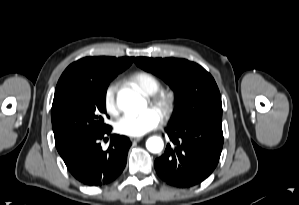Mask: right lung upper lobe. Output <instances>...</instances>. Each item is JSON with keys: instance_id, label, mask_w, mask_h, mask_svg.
<instances>
[{"instance_id": "cb5924a9", "label": "right lung upper lobe", "mask_w": 299, "mask_h": 205, "mask_svg": "<svg viewBox=\"0 0 299 205\" xmlns=\"http://www.w3.org/2000/svg\"><path fill=\"white\" fill-rule=\"evenodd\" d=\"M133 59V57H86L72 63L58 81L53 105L70 81L116 76L128 68Z\"/></svg>"}]
</instances>
